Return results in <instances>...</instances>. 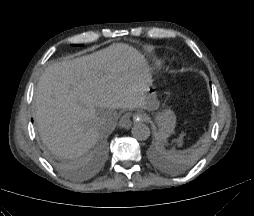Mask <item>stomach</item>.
<instances>
[{
    "label": "stomach",
    "mask_w": 254,
    "mask_h": 216,
    "mask_svg": "<svg viewBox=\"0 0 254 216\" xmlns=\"http://www.w3.org/2000/svg\"><path fill=\"white\" fill-rule=\"evenodd\" d=\"M158 127V135L162 138L168 137L174 133L176 126V116L171 109L159 111L154 116Z\"/></svg>",
    "instance_id": "0dacf381"
}]
</instances>
